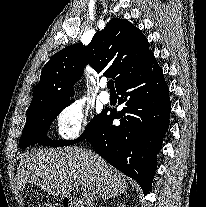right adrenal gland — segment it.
Here are the masks:
<instances>
[{"label":"right adrenal gland","instance_id":"right-adrenal-gland-1","mask_svg":"<svg viewBox=\"0 0 206 207\" xmlns=\"http://www.w3.org/2000/svg\"><path fill=\"white\" fill-rule=\"evenodd\" d=\"M106 200H108V199H104V200L101 202L100 207H103L102 205L104 204V202H105Z\"/></svg>","mask_w":206,"mask_h":207}]
</instances>
